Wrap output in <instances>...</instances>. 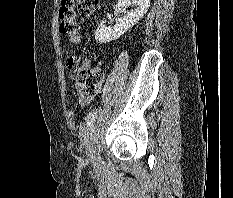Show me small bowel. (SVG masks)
Here are the masks:
<instances>
[{"mask_svg":"<svg viewBox=\"0 0 233 198\" xmlns=\"http://www.w3.org/2000/svg\"><path fill=\"white\" fill-rule=\"evenodd\" d=\"M95 97V94L90 95V94H86L83 92H79L78 94V103L81 106L87 105L88 103H90Z\"/></svg>","mask_w":233,"mask_h":198,"instance_id":"c3829d8e","label":"small bowel"}]
</instances>
